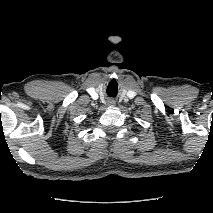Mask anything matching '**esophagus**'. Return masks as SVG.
Instances as JSON below:
<instances>
[{
	"instance_id": "obj_1",
	"label": "esophagus",
	"mask_w": 213,
	"mask_h": 213,
	"mask_svg": "<svg viewBox=\"0 0 213 213\" xmlns=\"http://www.w3.org/2000/svg\"><path fill=\"white\" fill-rule=\"evenodd\" d=\"M109 105H114V102L113 101L109 102Z\"/></svg>"
}]
</instances>
